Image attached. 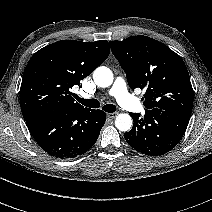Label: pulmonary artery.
Returning <instances> with one entry per match:
<instances>
[{"instance_id":"pulmonary-artery-1","label":"pulmonary artery","mask_w":212,"mask_h":212,"mask_svg":"<svg viewBox=\"0 0 212 212\" xmlns=\"http://www.w3.org/2000/svg\"><path fill=\"white\" fill-rule=\"evenodd\" d=\"M109 94L114 96L118 103L127 110L139 112L143 110V106L127 91L126 83L123 78L117 77L113 86L109 90ZM83 97H91L89 94L83 93Z\"/></svg>"}]
</instances>
